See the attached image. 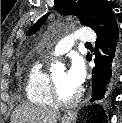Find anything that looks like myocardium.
I'll list each match as a JSON object with an SVG mask.
<instances>
[{
	"label": "myocardium",
	"mask_w": 122,
	"mask_h": 123,
	"mask_svg": "<svg viewBox=\"0 0 122 123\" xmlns=\"http://www.w3.org/2000/svg\"><path fill=\"white\" fill-rule=\"evenodd\" d=\"M49 87H50V96H51L53 102L56 103V104H59V105H64V106L73 105V104L77 103L80 100V98L83 94V90L79 89L76 92V94L73 95L72 97L64 98L59 93L57 84H56L53 76H50Z\"/></svg>",
	"instance_id": "obj_1"
}]
</instances>
